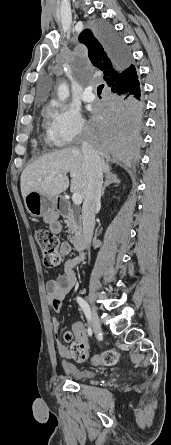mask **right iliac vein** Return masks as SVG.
Here are the masks:
<instances>
[{
	"mask_svg": "<svg viewBox=\"0 0 171 445\" xmlns=\"http://www.w3.org/2000/svg\"><path fill=\"white\" fill-rule=\"evenodd\" d=\"M90 309V321L95 334H99L102 331L101 323L97 315L95 307H89Z\"/></svg>",
	"mask_w": 171,
	"mask_h": 445,
	"instance_id": "obj_1",
	"label": "right iliac vein"
}]
</instances>
